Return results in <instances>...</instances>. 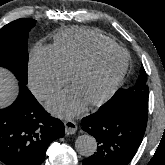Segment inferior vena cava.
<instances>
[{
	"mask_svg": "<svg viewBox=\"0 0 165 165\" xmlns=\"http://www.w3.org/2000/svg\"><path fill=\"white\" fill-rule=\"evenodd\" d=\"M46 93V91H42V94H45Z\"/></svg>",
	"mask_w": 165,
	"mask_h": 165,
	"instance_id": "602c4592",
	"label": "inferior vena cava"
}]
</instances>
